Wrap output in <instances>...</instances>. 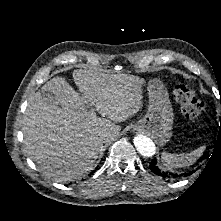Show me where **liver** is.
Here are the masks:
<instances>
[{"label": "liver", "instance_id": "1", "mask_svg": "<svg viewBox=\"0 0 221 221\" xmlns=\"http://www.w3.org/2000/svg\"><path fill=\"white\" fill-rule=\"evenodd\" d=\"M73 79L79 92L64 77L48 81L33 94L23 117L27 154L48 176L60 182L77 179L90 171L101 147L117 137L123 122L143 105L144 79L127 74H104L75 70ZM51 93L55 101L42 96ZM95 107L102 116L88 111Z\"/></svg>", "mask_w": 221, "mask_h": 221}]
</instances>
